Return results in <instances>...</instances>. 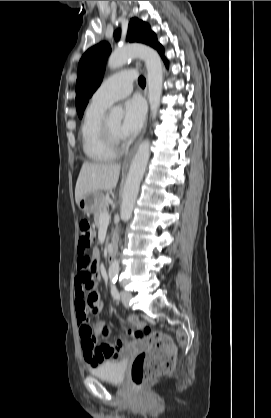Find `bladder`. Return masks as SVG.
I'll return each mask as SVG.
<instances>
[{
    "label": "bladder",
    "mask_w": 271,
    "mask_h": 418,
    "mask_svg": "<svg viewBox=\"0 0 271 418\" xmlns=\"http://www.w3.org/2000/svg\"><path fill=\"white\" fill-rule=\"evenodd\" d=\"M127 369L126 359L105 361L89 370V372L104 381L119 384L124 380Z\"/></svg>",
    "instance_id": "31cf9c89"
}]
</instances>
